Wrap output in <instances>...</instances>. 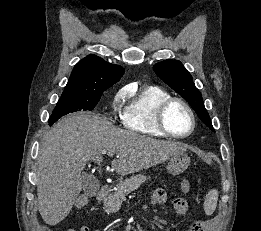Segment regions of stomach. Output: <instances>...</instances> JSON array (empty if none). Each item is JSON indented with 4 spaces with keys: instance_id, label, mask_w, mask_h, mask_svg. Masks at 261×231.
I'll list each match as a JSON object with an SVG mask.
<instances>
[{
    "instance_id": "0dacf381",
    "label": "stomach",
    "mask_w": 261,
    "mask_h": 231,
    "mask_svg": "<svg viewBox=\"0 0 261 231\" xmlns=\"http://www.w3.org/2000/svg\"><path fill=\"white\" fill-rule=\"evenodd\" d=\"M189 165H190V157L186 152H181L169 158L167 171L172 175H178L184 172Z\"/></svg>"
}]
</instances>
